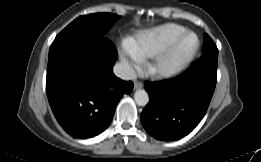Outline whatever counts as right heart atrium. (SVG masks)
<instances>
[{
  "label": "right heart atrium",
  "instance_id": "obj_1",
  "mask_svg": "<svg viewBox=\"0 0 261 162\" xmlns=\"http://www.w3.org/2000/svg\"><path fill=\"white\" fill-rule=\"evenodd\" d=\"M123 62L130 72L136 71L142 64V59L135 55L128 46L122 55Z\"/></svg>",
  "mask_w": 261,
  "mask_h": 162
}]
</instances>
